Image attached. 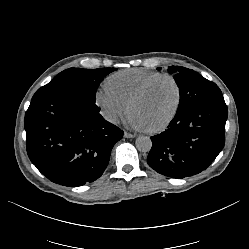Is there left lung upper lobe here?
<instances>
[{"instance_id": "left-lung-upper-lobe-1", "label": "left lung upper lobe", "mask_w": 249, "mask_h": 249, "mask_svg": "<svg viewBox=\"0 0 249 249\" xmlns=\"http://www.w3.org/2000/svg\"><path fill=\"white\" fill-rule=\"evenodd\" d=\"M161 68H158L160 70ZM168 72L174 74L179 87L180 102L176 115L192 106L218 99H224L219 87L202 77L197 72L184 67H168Z\"/></svg>"}]
</instances>
